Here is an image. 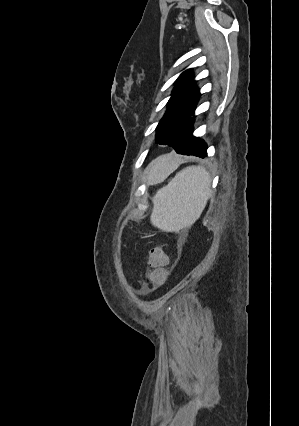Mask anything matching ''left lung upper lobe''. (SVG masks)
Wrapping results in <instances>:
<instances>
[{"label": "left lung upper lobe", "mask_w": 299, "mask_h": 426, "mask_svg": "<svg viewBox=\"0 0 299 426\" xmlns=\"http://www.w3.org/2000/svg\"><path fill=\"white\" fill-rule=\"evenodd\" d=\"M200 95L195 81L192 80L191 69L184 71L176 80L168 108L156 128V143L169 146L173 144L193 120Z\"/></svg>", "instance_id": "obj_1"}]
</instances>
